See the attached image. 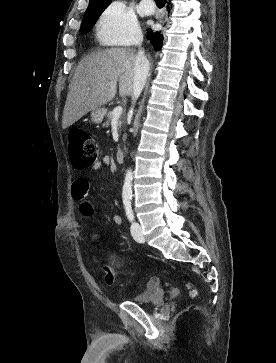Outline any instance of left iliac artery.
Here are the masks:
<instances>
[{"instance_id": "1", "label": "left iliac artery", "mask_w": 276, "mask_h": 363, "mask_svg": "<svg viewBox=\"0 0 276 363\" xmlns=\"http://www.w3.org/2000/svg\"><path fill=\"white\" fill-rule=\"evenodd\" d=\"M124 206H125V211H126L127 218L129 219V221H133L134 220V214H133V210H132V206H131V201L130 200H125L124 201Z\"/></svg>"}]
</instances>
